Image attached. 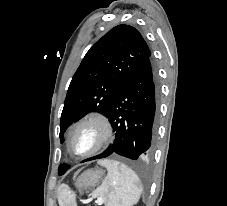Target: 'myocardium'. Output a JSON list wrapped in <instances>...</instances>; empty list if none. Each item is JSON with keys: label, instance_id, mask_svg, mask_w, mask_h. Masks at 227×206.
Returning a JSON list of instances; mask_svg holds the SVG:
<instances>
[{"label": "myocardium", "instance_id": "myocardium-1", "mask_svg": "<svg viewBox=\"0 0 227 206\" xmlns=\"http://www.w3.org/2000/svg\"><path fill=\"white\" fill-rule=\"evenodd\" d=\"M88 125H92L97 129L98 131L97 141L94 144V146L88 151L83 153H78L74 151L72 147V138L76 132H78L81 128ZM112 137H113V127L108 116L102 112L94 111L83 116L71 128L67 137V147L70 150V152L73 153L75 156L89 157L98 153L100 150L106 147L112 140Z\"/></svg>", "mask_w": 227, "mask_h": 206}]
</instances>
